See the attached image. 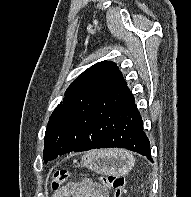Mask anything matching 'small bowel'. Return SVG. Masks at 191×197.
I'll return each instance as SVG.
<instances>
[{
	"label": "small bowel",
	"instance_id": "1",
	"mask_svg": "<svg viewBox=\"0 0 191 197\" xmlns=\"http://www.w3.org/2000/svg\"><path fill=\"white\" fill-rule=\"evenodd\" d=\"M52 197H108V191L98 183H68L54 192Z\"/></svg>",
	"mask_w": 191,
	"mask_h": 197
}]
</instances>
